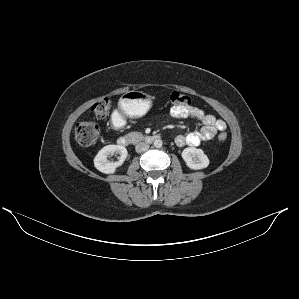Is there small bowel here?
Instances as JSON below:
<instances>
[{"label": "small bowel", "instance_id": "small-bowel-1", "mask_svg": "<svg viewBox=\"0 0 299 299\" xmlns=\"http://www.w3.org/2000/svg\"><path fill=\"white\" fill-rule=\"evenodd\" d=\"M170 114L174 118H194L202 123V128L199 131L177 136L175 142L179 147L198 146L226 129V123L223 120L216 119L213 115L194 106H174L170 109Z\"/></svg>", "mask_w": 299, "mask_h": 299}]
</instances>
